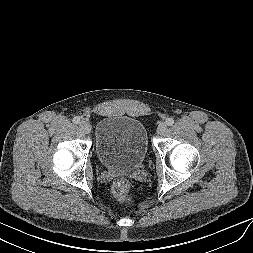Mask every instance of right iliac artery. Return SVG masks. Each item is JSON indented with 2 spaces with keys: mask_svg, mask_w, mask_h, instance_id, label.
<instances>
[{
  "mask_svg": "<svg viewBox=\"0 0 253 253\" xmlns=\"http://www.w3.org/2000/svg\"><path fill=\"white\" fill-rule=\"evenodd\" d=\"M72 121H73V123L78 124V123H80V118L74 117Z\"/></svg>",
  "mask_w": 253,
  "mask_h": 253,
  "instance_id": "82829eb1",
  "label": "right iliac artery"
}]
</instances>
